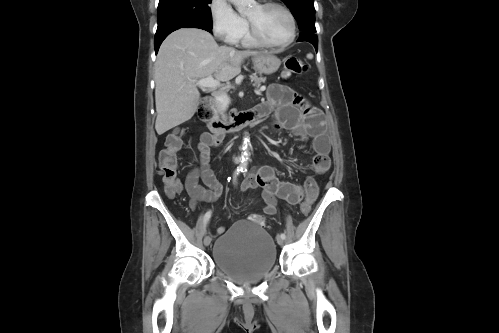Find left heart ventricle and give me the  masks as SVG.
Wrapping results in <instances>:
<instances>
[{"label":"left heart ventricle","instance_id":"obj_1","mask_svg":"<svg viewBox=\"0 0 499 333\" xmlns=\"http://www.w3.org/2000/svg\"><path fill=\"white\" fill-rule=\"evenodd\" d=\"M245 17L253 22L263 37L270 42H283L290 35L289 18L279 8L262 9L256 4L245 13Z\"/></svg>","mask_w":499,"mask_h":333}]
</instances>
